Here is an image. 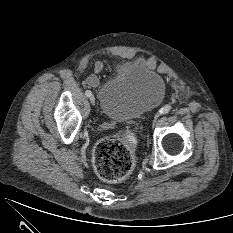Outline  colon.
<instances>
[{
	"instance_id": "colon-1",
	"label": "colon",
	"mask_w": 233,
	"mask_h": 233,
	"mask_svg": "<svg viewBox=\"0 0 233 233\" xmlns=\"http://www.w3.org/2000/svg\"><path fill=\"white\" fill-rule=\"evenodd\" d=\"M134 138L130 132L124 136H106L93 150L94 168L99 178L107 183L125 180L135 165Z\"/></svg>"
}]
</instances>
